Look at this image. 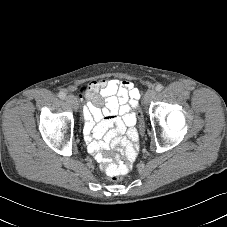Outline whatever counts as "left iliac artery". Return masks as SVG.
Segmentation results:
<instances>
[{"label": "left iliac artery", "mask_w": 227, "mask_h": 227, "mask_svg": "<svg viewBox=\"0 0 227 227\" xmlns=\"http://www.w3.org/2000/svg\"><path fill=\"white\" fill-rule=\"evenodd\" d=\"M155 89H156L157 92H160L163 89V85L158 84Z\"/></svg>", "instance_id": "obj_1"}]
</instances>
